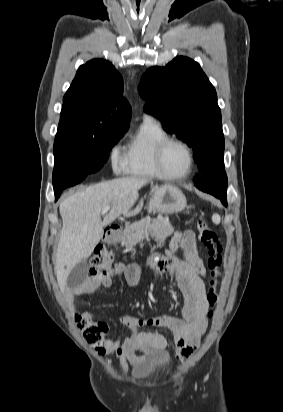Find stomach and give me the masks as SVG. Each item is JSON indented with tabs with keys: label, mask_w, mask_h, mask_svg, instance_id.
I'll use <instances>...</instances> for the list:
<instances>
[{
	"label": "stomach",
	"mask_w": 283,
	"mask_h": 412,
	"mask_svg": "<svg viewBox=\"0 0 283 412\" xmlns=\"http://www.w3.org/2000/svg\"><path fill=\"white\" fill-rule=\"evenodd\" d=\"M187 206L182 191L172 185H163L154 189L149 201V211L161 214L179 213Z\"/></svg>",
	"instance_id": "stomach-1"
}]
</instances>
